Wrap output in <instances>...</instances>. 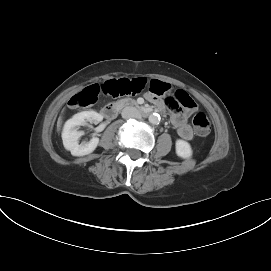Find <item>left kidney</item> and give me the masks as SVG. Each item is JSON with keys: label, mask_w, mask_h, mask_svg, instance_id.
<instances>
[{"label": "left kidney", "mask_w": 271, "mask_h": 271, "mask_svg": "<svg viewBox=\"0 0 271 271\" xmlns=\"http://www.w3.org/2000/svg\"><path fill=\"white\" fill-rule=\"evenodd\" d=\"M176 154L183 159H189L192 156V148L187 141L178 139L176 141Z\"/></svg>", "instance_id": "left-kidney-1"}]
</instances>
